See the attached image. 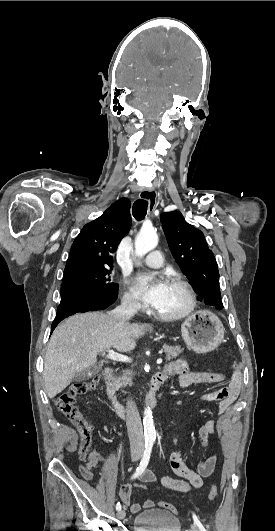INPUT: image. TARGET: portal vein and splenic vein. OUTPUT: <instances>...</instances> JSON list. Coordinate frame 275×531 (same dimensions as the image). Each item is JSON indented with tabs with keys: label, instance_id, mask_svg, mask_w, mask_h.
Masks as SVG:
<instances>
[{
	"label": "portal vein and splenic vein",
	"instance_id": "obj_1",
	"mask_svg": "<svg viewBox=\"0 0 275 531\" xmlns=\"http://www.w3.org/2000/svg\"><path fill=\"white\" fill-rule=\"evenodd\" d=\"M108 359H112V361H121V363H131L132 359L130 357H126V355H119V353H114V351H111L109 349L108 355H106ZM160 363H163V359H157V365H160Z\"/></svg>",
	"mask_w": 275,
	"mask_h": 531
}]
</instances>
